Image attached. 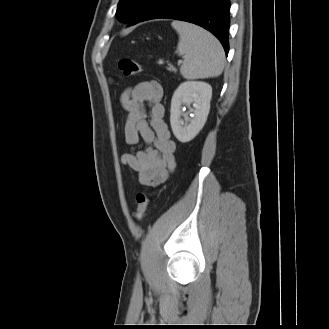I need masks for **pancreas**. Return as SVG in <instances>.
Returning a JSON list of instances; mask_svg holds the SVG:
<instances>
[{"label":"pancreas","instance_id":"1","mask_svg":"<svg viewBox=\"0 0 329 329\" xmlns=\"http://www.w3.org/2000/svg\"><path fill=\"white\" fill-rule=\"evenodd\" d=\"M167 70L172 71V72H175V73L177 71L176 68L173 65H171V64L168 65Z\"/></svg>","mask_w":329,"mask_h":329}]
</instances>
